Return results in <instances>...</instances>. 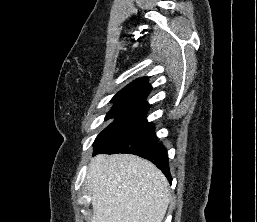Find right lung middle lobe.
<instances>
[{"label": "right lung middle lobe", "instance_id": "obj_1", "mask_svg": "<svg viewBox=\"0 0 257 222\" xmlns=\"http://www.w3.org/2000/svg\"><path fill=\"white\" fill-rule=\"evenodd\" d=\"M149 104L144 101L126 100L115 102L105 120L115 118L96 138L95 149L105 146L146 122Z\"/></svg>", "mask_w": 257, "mask_h": 222}]
</instances>
